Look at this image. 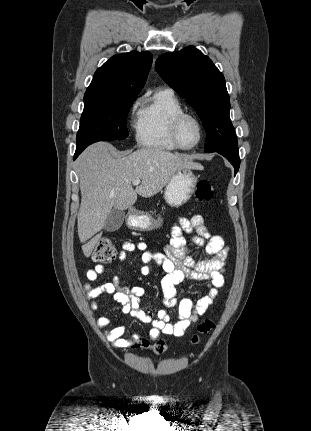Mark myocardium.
<instances>
[{"instance_id": "1", "label": "myocardium", "mask_w": 311, "mask_h": 431, "mask_svg": "<svg viewBox=\"0 0 311 431\" xmlns=\"http://www.w3.org/2000/svg\"><path fill=\"white\" fill-rule=\"evenodd\" d=\"M187 117L195 118L197 120V122L199 123L200 129H201V134H200L197 142L194 143L193 145H189V146L184 145L181 141V138H180V125H181L182 121ZM171 133H172V138H173V140H174V142L178 148H180L182 150H191V149L197 147L202 142L204 135H206V126H205L203 119L198 114L193 113V112H189V111H183L174 117V119L172 121V125H171Z\"/></svg>"}]
</instances>
